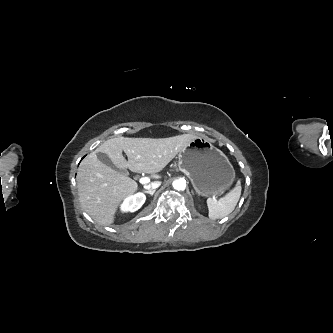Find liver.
Returning a JSON list of instances; mask_svg holds the SVG:
<instances>
[{"instance_id":"obj_1","label":"liver","mask_w":333,"mask_h":333,"mask_svg":"<svg viewBox=\"0 0 333 333\" xmlns=\"http://www.w3.org/2000/svg\"><path fill=\"white\" fill-rule=\"evenodd\" d=\"M197 136L183 134L168 138H112L82 160L77 172L78 192L84 210L94 221L110 225L122 201L138 190L135 180L117 169L157 174ZM123 152L128 156L124 158ZM97 153L106 154L114 169L102 163Z\"/></svg>"}]
</instances>
